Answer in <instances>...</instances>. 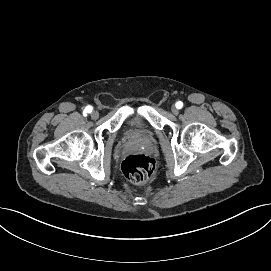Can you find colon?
Wrapping results in <instances>:
<instances>
[{
	"label": "colon",
	"mask_w": 271,
	"mask_h": 271,
	"mask_svg": "<svg viewBox=\"0 0 271 271\" xmlns=\"http://www.w3.org/2000/svg\"><path fill=\"white\" fill-rule=\"evenodd\" d=\"M155 161L146 155H129L121 164L124 176L134 183H142L155 172Z\"/></svg>",
	"instance_id": "5ec220e1"
}]
</instances>
